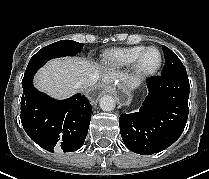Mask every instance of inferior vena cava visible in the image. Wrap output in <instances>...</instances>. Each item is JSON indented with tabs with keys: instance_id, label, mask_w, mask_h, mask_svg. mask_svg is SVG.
<instances>
[{
	"instance_id": "602c4592",
	"label": "inferior vena cava",
	"mask_w": 209,
	"mask_h": 179,
	"mask_svg": "<svg viewBox=\"0 0 209 179\" xmlns=\"http://www.w3.org/2000/svg\"><path fill=\"white\" fill-rule=\"evenodd\" d=\"M98 80V76L95 74H91L87 77L82 78L80 81L77 82L76 86L78 88H88L96 84Z\"/></svg>"
}]
</instances>
